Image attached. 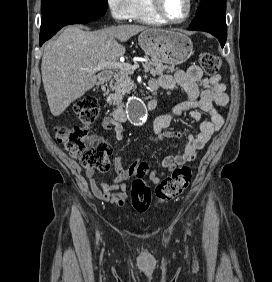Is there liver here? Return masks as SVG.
Segmentation results:
<instances>
[{
  "label": "liver",
  "instance_id": "6515ba94",
  "mask_svg": "<svg viewBox=\"0 0 272 282\" xmlns=\"http://www.w3.org/2000/svg\"><path fill=\"white\" fill-rule=\"evenodd\" d=\"M148 28L118 25L98 31L68 26L56 40L44 46L41 73L48 105L53 116L61 115L97 81L94 68L99 61H116L125 54V42Z\"/></svg>",
  "mask_w": 272,
  "mask_h": 282
}]
</instances>
